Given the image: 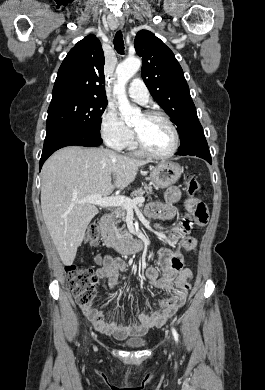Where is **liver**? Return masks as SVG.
<instances>
[{
	"label": "liver",
	"instance_id": "1",
	"mask_svg": "<svg viewBox=\"0 0 265 390\" xmlns=\"http://www.w3.org/2000/svg\"><path fill=\"white\" fill-rule=\"evenodd\" d=\"M147 163L102 147L68 146L48 158L42 168L41 209L64 265L73 264L85 231L98 214L94 204L74 203V199L123 189Z\"/></svg>",
	"mask_w": 265,
	"mask_h": 390
}]
</instances>
